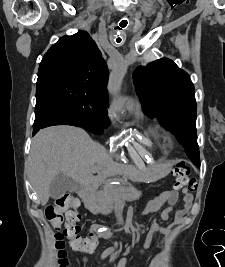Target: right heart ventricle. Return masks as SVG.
Instances as JSON below:
<instances>
[{
    "label": "right heart ventricle",
    "instance_id": "e07e8e85",
    "mask_svg": "<svg viewBox=\"0 0 225 267\" xmlns=\"http://www.w3.org/2000/svg\"><path fill=\"white\" fill-rule=\"evenodd\" d=\"M137 116H138L140 119L143 118V114H142V112H141V110H140L139 107H137Z\"/></svg>",
    "mask_w": 225,
    "mask_h": 267
}]
</instances>
